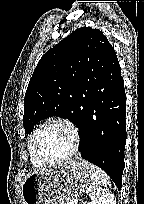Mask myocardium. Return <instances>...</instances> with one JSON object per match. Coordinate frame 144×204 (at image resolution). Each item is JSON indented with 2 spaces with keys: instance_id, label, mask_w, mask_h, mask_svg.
<instances>
[{
  "instance_id": "1",
  "label": "myocardium",
  "mask_w": 144,
  "mask_h": 204,
  "mask_svg": "<svg viewBox=\"0 0 144 204\" xmlns=\"http://www.w3.org/2000/svg\"><path fill=\"white\" fill-rule=\"evenodd\" d=\"M52 125L65 126L66 128H68L70 130L72 138H73V145H72L71 151L67 155H65L64 157L59 158V159H55V160L45 159L44 157H42V155L40 154V152L38 150V144H39V140H40L41 135L48 127H50ZM80 145H81V133H80V129L77 126V124L69 118L55 117V118H52V119L48 120L47 122H45L37 130V133L35 135L34 142H33V153H34L35 157L43 164H48V165L61 164V163H64V162L72 159L78 153V151L80 149Z\"/></svg>"
}]
</instances>
